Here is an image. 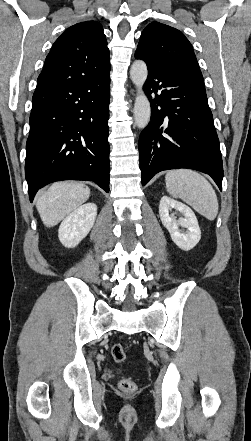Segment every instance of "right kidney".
<instances>
[{
    "instance_id": "1",
    "label": "right kidney",
    "mask_w": 251,
    "mask_h": 441,
    "mask_svg": "<svg viewBox=\"0 0 251 441\" xmlns=\"http://www.w3.org/2000/svg\"><path fill=\"white\" fill-rule=\"evenodd\" d=\"M97 216V206L87 203L71 212L58 230L60 242L68 248L76 247L90 232Z\"/></svg>"
}]
</instances>
